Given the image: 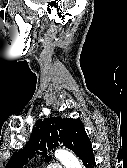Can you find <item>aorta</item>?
<instances>
[{
	"instance_id": "obj_1",
	"label": "aorta",
	"mask_w": 127,
	"mask_h": 168,
	"mask_svg": "<svg viewBox=\"0 0 127 168\" xmlns=\"http://www.w3.org/2000/svg\"><path fill=\"white\" fill-rule=\"evenodd\" d=\"M55 157L64 165L65 168H82L78 158L66 150H57Z\"/></svg>"
}]
</instances>
